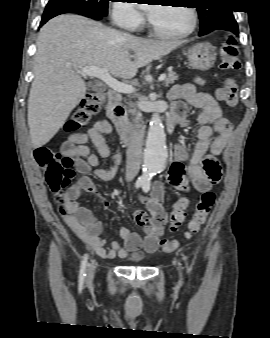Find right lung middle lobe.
Here are the masks:
<instances>
[{
	"label": "right lung middle lobe",
	"mask_w": 270,
	"mask_h": 338,
	"mask_svg": "<svg viewBox=\"0 0 270 338\" xmlns=\"http://www.w3.org/2000/svg\"><path fill=\"white\" fill-rule=\"evenodd\" d=\"M111 0H49L45 11L50 10H83L102 16L108 14V2Z\"/></svg>",
	"instance_id": "1"
}]
</instances>
